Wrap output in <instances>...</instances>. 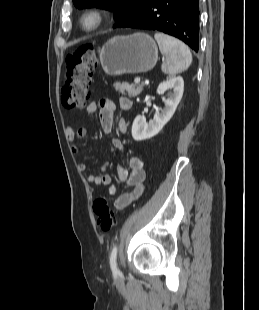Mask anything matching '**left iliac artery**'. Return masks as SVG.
<instances>
[{"label": "left iliac artery", "mask_w": 259, "mask_h": 310, "mask_svg": "<svg viewBox=\"0 0 259 310\" xmlns=\"http://www.w3.org/2000/svg\"><path fill=\"white\" fill-rule=\"evenodd\" d=\"M117 252H118V248L115 245L112 249L111 255H110V267L112 269L113 272H118V268H117Z\"/></svg>", "instance_id": "44dca946"}]
</instances>
